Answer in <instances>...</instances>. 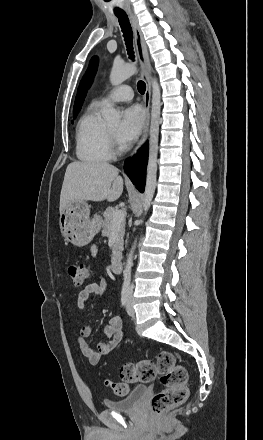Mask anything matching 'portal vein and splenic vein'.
Masks as SVG:
<instances>
[{
	"label": "portal vein and splenic vein",
	"mask_w": 263,
	"mask_h": 440,
	"mask_svg": "<svg viewBox=\"0 0 263 440\" xmlns=\"http://www.w3.org/2000/svg\"><path fill=\"white\" fill-rule=\"evenodd\" d=\"M124 218H125V212L123 210H118L117 212H115L113 216L112 228L117 227Z\"/></svg>",
	"instance_id": "obj_1"
}]
</instances>
